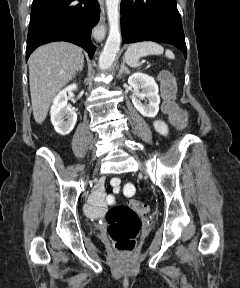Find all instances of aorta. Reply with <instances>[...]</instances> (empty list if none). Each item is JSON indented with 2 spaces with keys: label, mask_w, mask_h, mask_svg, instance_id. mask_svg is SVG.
<instances>
[{
  "label": "aorta",
  "mask_w": 240,
  "mask_h": 288,
  "mask_svg": "<svg viewBox=\"0 0 240 288\" xmlns=\"http://www.w3.org/2000/svg\"><path fill=\"white\" fill-rule=\"evenodd\" d=\"M121 0H106L109 35L99 57V69H109L119 51L121 33L119 29V5Z\"/></svg>",
  "instance_id": "aorta-1"
}]
</instances>
